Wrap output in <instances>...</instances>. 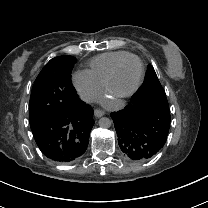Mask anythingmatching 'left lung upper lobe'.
<instances>
[{
    "label": "left lung upper lobe",
    "mask_w": 208,
    "mask_h": 208,
    "mask_svg": "<svg viewBox=\"0 0 208 208\" xmlns=\"http://www.w3.org/2000/svg\"><path fill=\"white\" fill-rule=\"evenodd\" d=\"M131 103L155 106L169 112L165 91L157 78L153 66L148 67L145 85L138 93L132 96Z\"/></svg>",
    "instance_id": "obj_1"
}]
</instances>
